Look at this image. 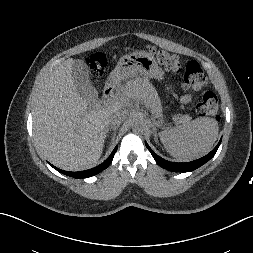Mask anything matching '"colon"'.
<instances>
[{
    "mask_svg": "<svg viewBox=\"0 0 253 253\" xmlns=\"http://www.w3.org/2000/svg\"><path fill=\"white\" fill-rule=\"evenodd\" d=\"M150 51L155 55L158 63L165 69L173 73H180L182 70L184 71L182 83L184 89L202 90L206 85V75L198 62L190 61L183 69L181 62L176 55L155 48H151ZM87 63L91 77L97 79L102 75L107 61L103 54L96 53L88 59ZM196 112L201 117H209L219 120L217 96L211 91H202L200 99L196 104Z\"/></svg>",
    "mask_w": 253,
    "mask_h": 253,
    "instance_id": "1",
    "label": "colon"
}]
</instances>
